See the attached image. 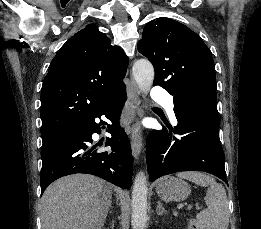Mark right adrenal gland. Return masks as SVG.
<instances>
[{"label":"right adrenal gland","instance_id":"right-adrenal-gland-1","mask_svg":"<svg viewBox=\"0 0 261 229\" xmlns=\"http://www.w3.org/2000/svg\"><path fill=\"white\" fill-rule=\"evenodd\" d=\"M113 227H114V221H112L110 229H113Z\"/></svg>","mask_w":261,"mask_h":229}]
</instances>
